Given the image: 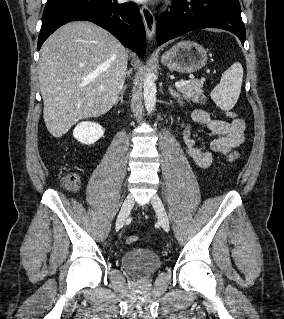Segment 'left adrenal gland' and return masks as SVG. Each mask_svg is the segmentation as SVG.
<instances>
[{
    "label": "left adrenal gland",
    "instance_id": "left-adrenal-gland-1",
    "mask_svg": "<svg viewBox=\"0 0 284 319\" xmlns=\"http://www.w3.org/2000/svg\"><path fill=\"white\" fill-rule=\"evenodd\" d=\"M168 90H169L170 95L173 98L177 99L179 103H182L183 98H182V95L179 92L174 90L171 86H169Z\"/></svg>",
    "mask_w": 284,
    "mask_h": 319
}]
</instances>
